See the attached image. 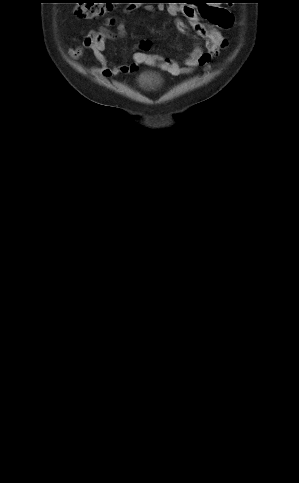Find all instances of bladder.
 Returning <instances> with one entry per match:
<instances>
[{"label": "bladder", "mask_w": 299, "mask_h": 483, "mask_svg": "<svg viewBox=\"0 0 299 483\" xmlns=\"http://www.w3.org/2000/svg\"><path fill=\"white\" fill-rule=\"evenodd\" d=\"M141 83L145 86H148L150 84H154L155 83V79L151 76H144L142 79H141Z\"/></svg>", "instance_id": "obj_1"}]
</instances>
